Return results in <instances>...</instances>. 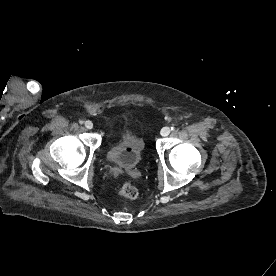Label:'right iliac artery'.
I'll list each match as a JSON object with an SVG mask.
<instances>
[{
	"label": "right iliac artery",
	"mask_w": 276,
	"mask_h": 276,
	"mask_svg": "<svg viewBox=\"0 0 276 276\" xmlns=\"http://www.w3.org/2000/svg\"><path fill=\"white\" fill-rule=\"evenodd\" d=\"M83 122H84L83 120H79V123H80V124H83Z\"/></svg>",
	"instance_id": "1"
}]
</instances>
